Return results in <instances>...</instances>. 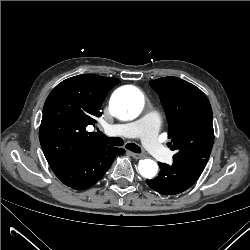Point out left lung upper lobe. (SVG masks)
Instances as JSON below:
<instances>
[{
	"label": "left lung upper lobe",
	"mask_w": 250,
	"mask_h": 250,
	"mask_svg": "<svg viewBox=\"0 0 250 250\" xmlns=\"http://www.w3.org/2000/svg\"><path fill=\"white\" fill-rule=\"evenodd\" d=\"M159 94L169 122L168 137L173 161L209 159L214 131L212 109L206 95L193 84L177 77L150 82Z\"/></svg>",
	"instance_id": "1"
}]
</instances>
